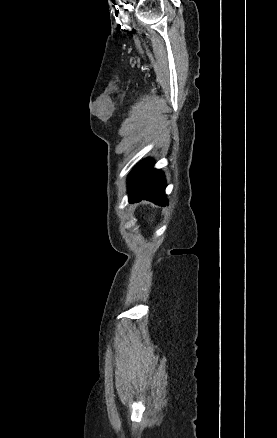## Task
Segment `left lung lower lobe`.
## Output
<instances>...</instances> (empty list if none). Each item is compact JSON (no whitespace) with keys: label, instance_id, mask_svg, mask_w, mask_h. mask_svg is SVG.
<instances>
[{"label":"left lung lower lobe","instance_id":"0a47b994","mask_svg":"<svg viewBox=\"0 0 277 438\" xmlns=\"http://www.w3.org/2000/svg\"><path fill=\"white\" fill-rule=\"evenodd\" d=\"M154 161L145 159L137 164L128 177V194L131 203L149 200L165 206L168 201L165 195L166 181L161 170L153 169Z\"/></svg>","mask_w":277,"mask_h":438}]
</instances>
